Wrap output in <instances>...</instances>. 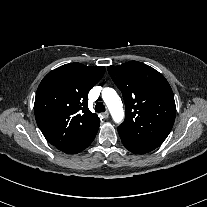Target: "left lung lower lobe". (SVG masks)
Masks as SVG:
<instances>
[{
  "instance_id": "left-lung-lower-lobe-1",
  "label": "left lung lower lobe",
  "mask_w": 207,
  "mask_h": 207,
  "mask_svg": "<svg viewBox=\"0 0 207 207\" xmlns=\"http://www.w3.org/2000/svg\"><path fill=\"white\" fill-rule=\"evenodd\" d=\"M118 133L125 148L134 154L148 153L160 145L159 143L141 140L119 131Z\"/></svg>"
}]
</instances>
